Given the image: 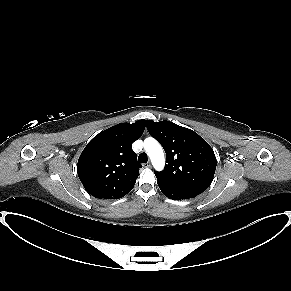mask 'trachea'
I'll use <instances>...</instances> for the list:
<instances>
[{"instance_id":"trachea-1","label":"trachea","mask_w":291,"mask_h":291,"mask_svg":"<svg viewBox=\"0 0 291 291\" xmlns=\"http://www.w3.org/2000/svg\"><path fill=\"white\" fill-rule=\"evenodd\" d=\"M138 161L140 163H147L148 161V157H147V154L146 153H141L138 157Z\"/></svg>"}]
</instances>
